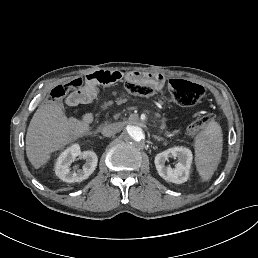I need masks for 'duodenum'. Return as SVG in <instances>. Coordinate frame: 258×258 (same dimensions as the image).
Instances as JSON below:
<instances>
[{"label":"duodenum","instance_id":"duodenum-1","mask_svg":"<svg viewBox=\"0 0 258 258\" xmlns=\"http://www.w3.org/2000/svg\"><path fill=\"white\" fill-rule=\"evenodd\" d=\"M124 74L121 71H97L87 76V85L96 88L98 85L112 86L122 80Z\"/></svg>","mask_w":258,"mask_h":258}]
</instances>
